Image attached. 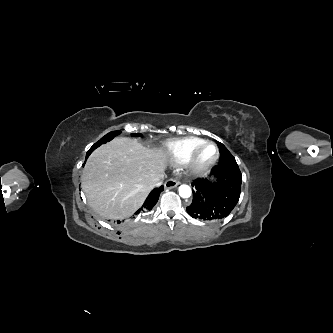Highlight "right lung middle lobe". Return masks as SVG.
I'll return each mask as SVG.
<instances>
[{"label":"right lung middle lobe","mask_w":333,"mask_h":333,"mask_svg":"<svg viewBox=\"0 0 333 333\" xmlns=\"http://www.w3.org/2000/svg\"><path fill=\"white\" fill-rule=\"evenodd\" d=\"M120 133V131H112L108 134H106L103 138H101L97 143H95L93 146H95V148H97L98 146H100L101 144H104L110 140H112V138H114L116 135H118ZM133 136H139V133L137 134H132Z\"/></svg>","instance_id":"1"}]
</instances>
